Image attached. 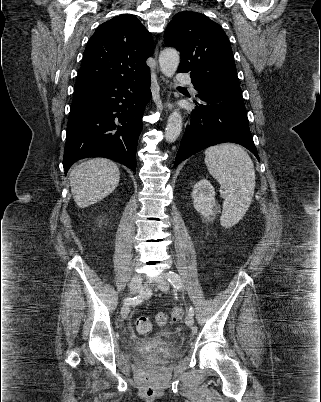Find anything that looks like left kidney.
<instances>
[{
  "instance_id": "1",
  "label": "left kidney",
  "mask_w": 321,
  "mask_h": 402,
  "mask_svg": "<svg viewBox=\"0 0 321 402\" xmlns=\"http://www.w3.org/2000/svg\"><path fill=\"white\" fill-rule=\"evenodd\" d=\"M191 197L197 212L208 220L215 216V189L207 179L198 181L192 190Z\"/></svg>"
}]
</instances>
